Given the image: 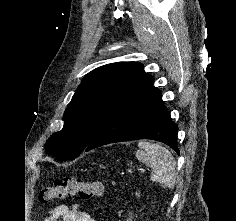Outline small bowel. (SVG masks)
Segmentation results:
<instances>
[{"label": "small bowel", "mask_w": 236, "mask_h": 221, "mask_svg": "<svg viewBox=\"0 0 236 221\" xmlns=\"http://www.w3.org/2000/svg\"><path fill=\"white\" fill-rule=\"evenodd\" d=\"M44 221H96L77 204H59L48 210Z\"/></svg>", "instance_id": "small-bowel-1"}]
</instances>
